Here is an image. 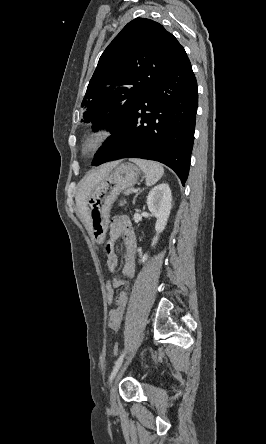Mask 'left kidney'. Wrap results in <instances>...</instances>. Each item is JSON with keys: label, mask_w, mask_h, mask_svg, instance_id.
<instances>
[{"label": "left kidney", "mask_w": 266, "mask_h": 444, "mask_svg": "<svg viewBox=\"0 0 266 444\" xmlns=\"http://www.w3.org/2000/svg\"><path fill=\"white\" fill-rule=\"evenodd\" d=\"M147 206L152 215L157 218L156 236L152 240V246H154L158 241L159 233L165 229L172 207V194L169 185L162 183L155 186L147 196ZM147 259L148 255L144 254L140 263H144Z\"/></svg>", "instance_id": "left-kidney-1"}]
</instances>
